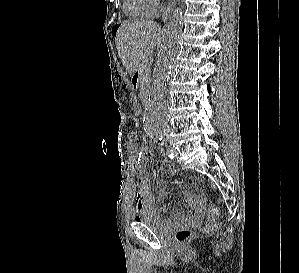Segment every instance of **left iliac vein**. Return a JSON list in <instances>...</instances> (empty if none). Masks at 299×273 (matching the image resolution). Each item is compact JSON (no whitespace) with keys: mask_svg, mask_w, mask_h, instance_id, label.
Segmentation results:
<instances>
[{"mask_svg":"<svg viewBox=\"0 0 299 273\" xmlns=\"http://www.w3.org/2000/svg\"><path fill=\"white\" fill-rule=\"evenodd\" d=\"M172 152H173L176 156H178V151H177L175 148L172 149Z\"/></svg>","mask_w":299,"mask_h":273,"instance_id":"1","label":"left iliac vein"}]
</instances>
